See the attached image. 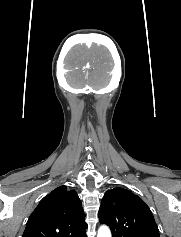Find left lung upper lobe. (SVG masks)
I'll list each match as a JSON object with an SVG mask.
<instances>
[{
  "mask_svg": "<svg viewBox=\"0 0 181 237\" xmlns=\"http://www.w3.org/2000/svg\"><path fill=\"white\" fill-rule=\"evenodd\" d=\"M98 216L113 237H160L147 204L125 188L116 187L104 194Z\"/></svg>",
  "mask_w": 181,
  "mask_h": 237,
  "instance_id": "1",
  "label": "left lung upper lobe"
}]
</instances>
